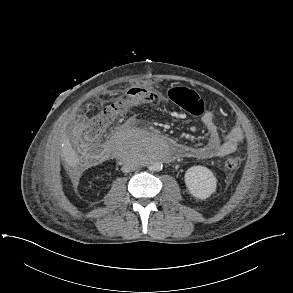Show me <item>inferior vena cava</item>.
Listing matches in <instances>:
<instances>
[{"label":"inferior vena cava","instance_id":"1","mask_svg":"<svg viewBox=\"0 0 293 293\" xmlns=\"http://www.w3.org/2000/svg\"><path fill=\"white\" fill-rule=\"evenodd\" d=\"M134 169H135V165L132 163H125L121 168L123 172H130V171H133Z\"/></svg>","mask_w":293,"mask_h":293}]
</instances>
